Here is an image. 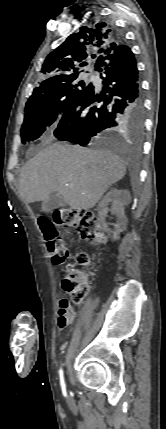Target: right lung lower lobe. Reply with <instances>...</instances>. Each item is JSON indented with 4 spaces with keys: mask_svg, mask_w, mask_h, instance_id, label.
Instances as JSON below:
<instances>
[{
    "mask_svg": "<svg viewBox=\"0 0 166 429\" xmlns=\"http://www.w3.org/2000/svg\"><path fill=\"white\" fill-rule=\"evenodd\" d=\"M102 73L99 93L89 84L58 120L54 136L81 146L98 144L108 132L143 129L144 109L137 62L128 46L105 53L95 63ZM96 104V105H95Z\"/></svg>",
    "mask_w": 166,
    "mask_h": 429,
    "instance_id": "1",
    "label": "right lung lower lobe"
}]
</instances>
